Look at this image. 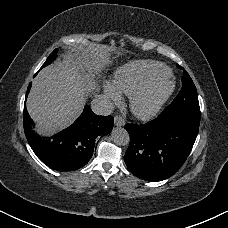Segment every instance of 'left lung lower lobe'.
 Returning a JSON list of instances; mask_svg holds the SVG:
<instances>
[{"label":"left lung lower lobe","mask_w":228,"mask_h":228,"mask_svg":"<svg viewBox=\"0 0 228 228\" xmlns=\"http://www.w3.org/2000/svg\"><path fill=\"white\" fill-rule=\"evenodd\" d=\"M198 121L165 119L161 114L146 124H126L130 144L124 160L136 177L158 182L175 174L196 140Z\"/></svg>","instance_id":"0a47b994"}]
</instances>
